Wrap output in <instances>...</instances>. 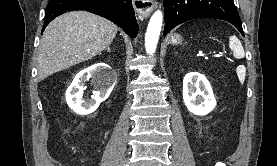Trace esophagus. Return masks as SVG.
Returning a JSON list of instances; mask_svg holds the SVG:
<instances>
[{
    "mask_svg": "<svg viewBox=\"0 0 277 166\" xmlns=\"http://www.w3.org/2000/svg\"><path fill=\"white\" fill-rule=\"evenodd\" d=\"M133 7L139 17V19H146L154 8L153 0H132Z\"/></svg>",
    "mask_w": 277,
    "mask_h": 166,
    "instance_id": "1",
    "label": "esophagus"
}]
</instances>
